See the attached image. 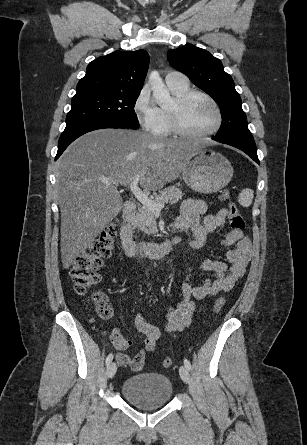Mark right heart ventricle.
Segmentation results:
<instances>
[{
    "instance_id": "right-heart-ventricle-1",
    "label": "right heart ventricle",
    "mask_w": 307,
    "mask_h": 445,
    "mask_svg": "<svg viewBox=\"0 0 307 445\" xmlns=\"http://www.w3.org/2000/svg\"><path fill=\"white\" fill-rule=\"evenodd\" d=\"M167 85H168V89L173 97L183 95L190 90L188 83L182 84V83H168L167 82ZM156 103H157V101H156ZM159 111H160V115H161V124H160V128H159L158 132L162 135H167V134L172 133L173 130L170 126L168 116L166 113V109L159 108ZM163 140H170V139H163Z\"/></svg>"
}]
</instances>
